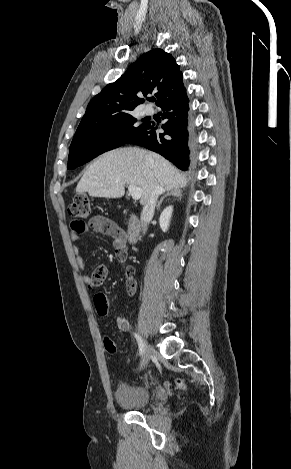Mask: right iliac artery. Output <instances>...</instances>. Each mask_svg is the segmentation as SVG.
I'll list each match as a JSON object with an SVG mask.
<instances>
[{
    "label": "right iliac artery",
    "mask_w": 291,
    "mask_h": 469,
    "mask_svg": "<svg viewBox=\"0 0 291 469\" xmlns=\"http://www.w3.org/2000/svg\"><path fill=\"white\" fill-rule=\"evenodd\" d=\"M134 336H135V338L138 342L139 352H140L141 355H143V353H144V342L141 339V337L139 335H137L136 333H134Z\"/></svg>",
    "instance_id": "1"
}]
</instances>
